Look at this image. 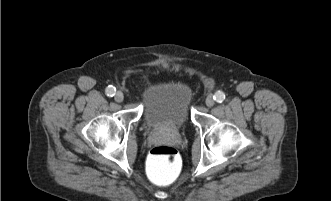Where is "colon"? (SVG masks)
Segmentation results:
<instances>
[{
    "label": "colon",
    "mask_w": 331,
    "mask_h": 201,
    "mask_svg": "<svg viewBox=\"0 0 331 201\" xmlns=\"http://www.w3.org/2000/svg\"><path fill=\"white\" fill-rule=\"evenodd\" d=\"M182 170V160L178 151L171 146L153 147L147 157L146 172L156 185L166 186L175 182Z\"/></svg>",
    "instance_id": "colon-1"
}]
</instances>
